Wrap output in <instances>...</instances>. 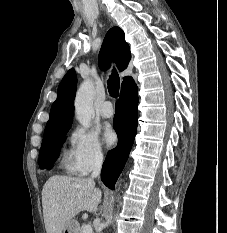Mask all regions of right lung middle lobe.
Listing matches in <instances>:
<instances>
[{
  "instance_id": "1",
  "label": "right lung middle lobe",
  "mask_w": 227,
  "mask_h": 233,
  "mask_svg": "<svg viewBox=\"0 0 227 233\" xmlns=\"http://www.w3.org/2000/svg\"><path fill=\"white\" fill-rule=\"evenodd\" d=\"M67 131L53 138L43 139L40 154L39 166L41 169H51L55 160L58 158L60 148L65 141Z\"/></svg>"
}]
</instances>
